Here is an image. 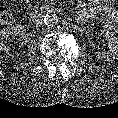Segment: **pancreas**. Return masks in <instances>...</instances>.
<instances>
[{"mask_svg": "<svg viewBox=\"0 0 118 118\" xmlns=\"http://www.w3.org/2000/svg\"><path fill=\"white\" fill-rule=\"evenodd\" d=\"M45 7H46L47 9H50V10L55 9L52 5H45Z\"/></svg>", "mask_w": 118, "mask_h": 118, "instance_id": "obj_1", "label": "pancreas"}]
</instances>
